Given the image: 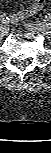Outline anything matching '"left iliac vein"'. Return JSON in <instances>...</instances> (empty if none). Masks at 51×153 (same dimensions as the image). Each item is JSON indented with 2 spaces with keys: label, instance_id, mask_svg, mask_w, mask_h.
Segmentation results:
<instances>
[{
  "label": "left iliac vein",
  "instance_id": "4c4485c4",
  "mask_svg": "<svg viewBox=\"0 0 51 153\" xmlns=\"http://www.w3.org/2000/svg\"><path fill=\"white\" fill-rule=\"evenodd\" d=\"M27 27L28 29L42 31L44 33L50 32L49 24L46 23H30Z\"/></svg>",
  "mask_w": 51,
  "mask_h": 153
}]
</instances>
